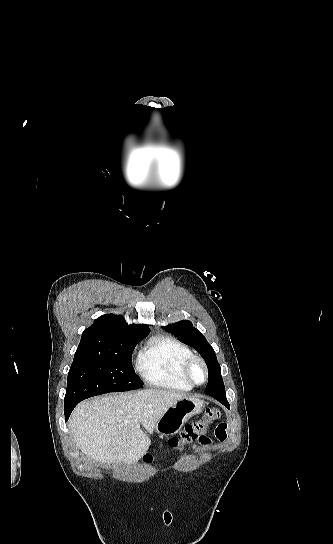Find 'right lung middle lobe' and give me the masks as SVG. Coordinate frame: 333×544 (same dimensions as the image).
I'll return each instance as SVG.
<instances>
[{"label": "right lung middle lobe", "mask_w": 333, "mask_h": 544, "mask_svg": "<svg viewBox=\"0 0 333 544\" xmlns=\"http://www.w3.org/2000/svg\"><path fill=\"white\" fill-rule=\"evenodd\" d=\"M143 338L113 341L106 351L77 350L68 373L64 402L75 403L108 393L143 386L132 366V353Z\"/></svg>", "instance_id": "obj_1"}]
</instances>
